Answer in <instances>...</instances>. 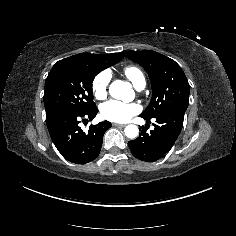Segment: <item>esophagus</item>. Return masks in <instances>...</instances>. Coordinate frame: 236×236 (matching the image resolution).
<instances>
[{"label":"esophagus","instance_id":"1","mask_svg":"<svg viewBox=\"0 0 236 236\" xmlns=\"http://www.w3.org/2000/svg\"><path fill=\"white\" fill-rule=\"evenodd\" d=\"M112 125L115 127H125L126 126V124H119V123H113Z\"/></svg>","mask_w":236,"mask_h":236}]
</instances>
